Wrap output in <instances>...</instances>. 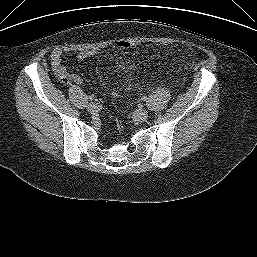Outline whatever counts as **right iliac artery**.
<instances>
[{
  "label": "right iliac artery",
  "mask_w": 257,
  "mask_h": 257,
  "mask_svg": "<svg viewBox=\"0 0 257 257\" xmlns=\"http://www.w3.org/2000/svg\"><path fill=\"white\" fill-rule=\"evenodd\" d=\"M88 99H89L90 101H92V100L94 99V96L90 95V96H88Z\"/></svg>",
  "instance_id": "right-iliac-artery-1"
}]
</instances>
